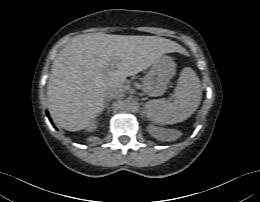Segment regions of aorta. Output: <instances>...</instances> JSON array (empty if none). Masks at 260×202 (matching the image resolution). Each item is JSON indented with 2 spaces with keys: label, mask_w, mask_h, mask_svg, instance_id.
Wrapping results in <instances>:
<instances>
[{
  "label": "aorta",
  "mask_w": 260,
  "mask_h": 202,
  "mask_svg": "<svg viewBox=\"0 0 260 202\" xmlns=\"http://www.w3.org/2000/svg\"><path fill=\"white\" fill-rule=\"evenodd\" d=\"M133 108V103L130 100H125L122 103V110L130 111Z\"/></svg>",
  "instance_id": "1"
}]
</instances>
